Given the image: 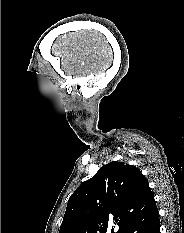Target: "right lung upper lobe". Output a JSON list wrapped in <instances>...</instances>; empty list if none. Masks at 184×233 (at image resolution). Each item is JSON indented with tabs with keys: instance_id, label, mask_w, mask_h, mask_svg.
Masks as SVG:
<instances>
[{
	"instance_id": "1",
	"label": "right lung upper lobe",
	"mask_w": 184,
	"mask_h": 233,
	"mask_svg": "<svg viewBox=\"0 0 184 233\" xmlns=\"http://www.w3.org/2000/svg\"><path fill=\"white\" fill-rule=\"evenodd\" d=\"M154 204L140 170L113 161L71 195L59 233H107L112 223L117 224V233H123Z\"/></svg>"
}]
</instances>
